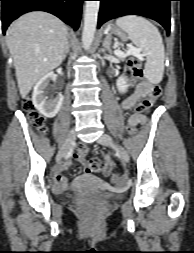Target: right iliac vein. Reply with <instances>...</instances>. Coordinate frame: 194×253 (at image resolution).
Masks as SVG:
<instances>
[{
    "mask_svg": "<svg viewBox=\"0 0 194 253\" xmlns=\"http://www.w3.org/2000/svg\"><path fill=\"white\" fill-rule=\"evenodd\" d=\"M75 138H76V132L74 129H71L67 135L66 141L64 142V144L62 145V147L60 148L57 154V157H56L57 161H60L65 156L67 151L73 145Z\"/></svg>",
    "mask_w": 194,
    "mask_h": 253,
    "instance_id": "1",
    "label": "right iliac vein"
}]
</instances>
